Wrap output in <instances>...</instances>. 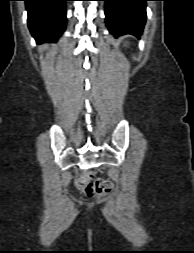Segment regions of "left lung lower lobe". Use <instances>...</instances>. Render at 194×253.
Masks as SVG:
<instances>
[{
	"label": "left lung lower lobe",
	"mask_w": 194,
	"mask_h": 253,
	"mask_svg": "<svg viewBox=\"0 0 194 253\" xmlns=\"http://www.w3.org/2000/svg\"><path fill=\"white\" fill-rule=\"evenodd\" d=\"M105 1L106 26L115 36L132 34L140 37L146 21V2L151 0Z\"/></svg>",
	"instance_id": "0a47b994"
}]
</instances>
